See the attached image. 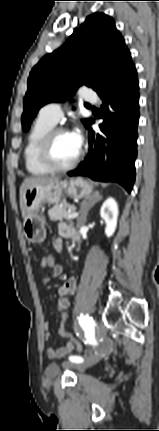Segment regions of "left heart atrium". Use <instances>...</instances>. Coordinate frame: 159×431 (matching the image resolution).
<instances>
[{"label":"left heart atrium","mask_w":159,"mask_h":431,"mask_svg":"<svg viewBox=\"0 0 159 431\" xmlns=\"http://www.w3.org/2000/svg\"><path fill=\"white\" fill-rule=\"evenodd\" d=\"M69 135L74 142L75 146L80 149L83 143V135L82 132L76 128L73 131L69 132Z\"/></svg>","instance_id":"1"}]
</instances>
